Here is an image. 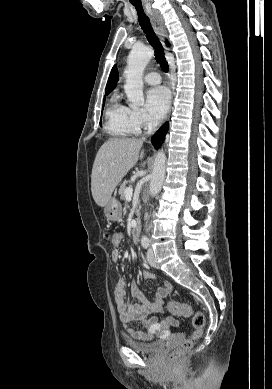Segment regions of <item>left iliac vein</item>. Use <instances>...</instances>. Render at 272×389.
<instances>
[{
	"mask_svg": "<svg viewBox=\"0 0 272 389\" xmlns=\"http://www.w3.org/2000/svg\"><path fill=\"white\" fill-rule=\"evenodd\" d=\"M147 262L150 266L155 267L156 266V261L154 257V252L152 249H148L147 251Z\"/></svg>",
	"mask_w": 272,
	"mask_h": 389,
	"instance_id": "left-iliac-vein-1",
	"label": "left iliac vein"
}]
</instances>
